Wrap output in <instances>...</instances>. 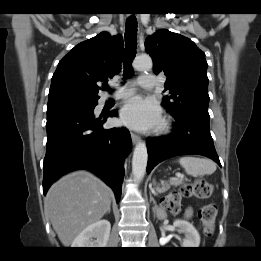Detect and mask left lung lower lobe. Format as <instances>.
I'll return each instance as SVG.
<instances>
[{
	"mask_svg": "<svg viewBox=\"0 0 261 261\" xmlns=\"http://www.w3.org/2000/svg\"><path fill=\"white\" fill-rule=\"evenodd\" d=\"M174 131L163 137L147 138V173L161 161L173 156L198 154L221 166L209 129V119L182 114L174 117Z\"/></svg>",
	"mask_w": 261,
	"mask_h": 261,
	"instance_id": "obj_1",
	"label": "left lung lower lobe"
}]
</instances>
